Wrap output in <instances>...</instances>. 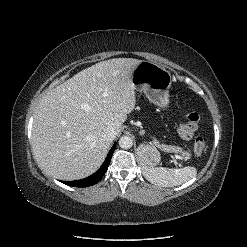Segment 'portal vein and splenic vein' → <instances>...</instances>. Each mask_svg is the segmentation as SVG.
Wrapping results in <instances>:
<instances>
[{
	"instance_id": "1",
	"label": "portal vein and splenic vein",
	"mask_w": 247,
	"mask_h": 247,
	"mask_svg": "<svg viewBox=\"0 0 247 247\" xmlns=\"http://www.w3.org/2000/svg\"><path fill=\"white\" fill-rule=\"evenodd\" d=\"M174 158L177 159V160H184V158L179 156V155H175Z\"/></svg>"
}]
</instances>
